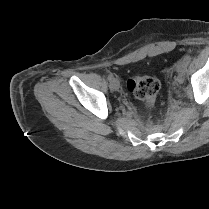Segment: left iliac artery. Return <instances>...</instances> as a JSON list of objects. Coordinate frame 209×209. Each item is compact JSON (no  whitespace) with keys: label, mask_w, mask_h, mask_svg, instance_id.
Returning a JSON list of instances; mask_svg holds the SVG:
<instances>
[{"label":"left iliac artery","mask_w":209,"mask_h":209,"mask_svg":"<svg viewBox=\"0 0 209 209\" xmlns=\"http://www.w3.org/2000/svg\"><path fill=\"white\" fill-rule=\"evenodd\" d=\"M183 60L187 63V65H188V63L191 61V56L190 55H185L184 57H183Z\"/></svg>","instance_id":"left-iliac-artery-1"}]
</instances>
